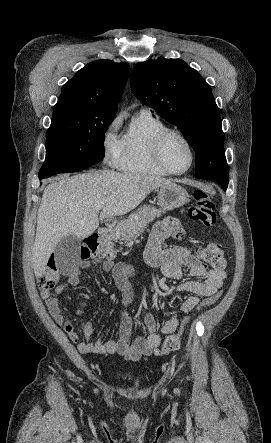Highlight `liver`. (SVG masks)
<instances>
[{
	"mask_svg": "<svg viewBox=\"0 0 271 443\" xmlns=\"http://www.w3.org/2000/svg\"><path fill=\"white\" fill-rule=\"evenodd\" d=\"M164 184L170 182L164 178L118 174L111 170L77 174L71 178L64 176L48 184L37 212L32 253L35 275H42L54 247L63 237H88L104 218L132 212L148 194ZM100 200L107 202L98 218L93 206Z\"/></svg>",
	"mask_w": 271,
	"mask_h": 443,
	"instance_id": "liver-1",
	"label": "liver"
}]
</instances>
